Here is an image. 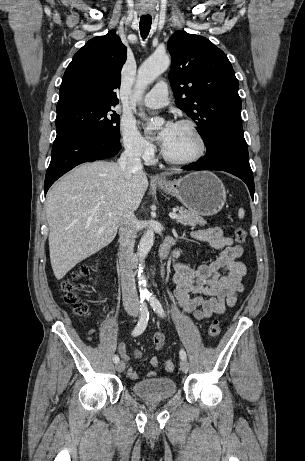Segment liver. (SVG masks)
I'll return each instance as SVG.
<instances>
[{
  "label": "liver",
  "instance_id": "obj_1",
  "mask_svg": "<svg viewBox=\"0 0 305 461\" xmlns=\"http://www.w3.org/2000/svg\"><path fill=\"white\" fill-rule=\"evenodd\" d=\"M147 188L145 173L127 180L117 163L105 161L82 164L54 184L45 211L57 280L113 241L122 215L137 210Z\"/></svg>",
  "mask_w": 305,
  "mask_h": 461
}]
</instances>
